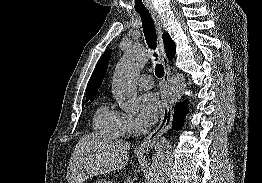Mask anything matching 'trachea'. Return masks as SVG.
<instances>
[{"label":"trachea","mask_w":262,"mask_h":183,"mask_svg":"<svg viewBox=\"0 0 262 183\" xmlns=\"http://www.w3.org/2000/svg\"><path fill=\"white\" fill-rule=\"evenodd\" d=\"M138 13L141 16L142 28H143V32H144L146 42H147L149 48L155 51L156 48H157V34H156L154 22H153V20L150 16L149 12L141 11V12H138ZM154 57H155V61H157L158 55H157L156 52L154 53ZM155 74L158 78H162V76L164 75V68H163L162 64H159V63L156 64Z\"/></svg>","instance_id":"trachea-1"}]
</instances>
